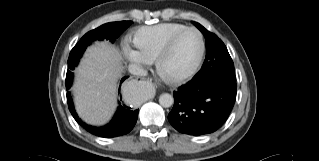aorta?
<instances>
[{"mask_svg":"<svg viewBox=\"0 0 319 161\" xmlns=\"http://www.w3.org/2000/svg\"><path fill=\"white\" fill-rule=\"evenodd\" d=\"M150 89L151 88L149 85L143 86L140 89V93H143L145 90H150ZM159 103L162 107H165V108L171 107L172 104L174 103L173 96L168 93L161 94L159 97Z\"/></svg>","mask_w":319,"mask_h":161,"instance_id":"762f6f07","label":"aorta"}]
</instances>
